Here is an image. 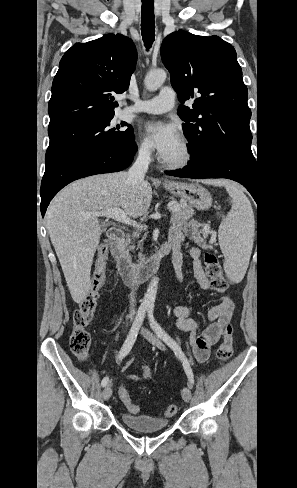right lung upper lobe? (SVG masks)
<instances>
[{
  "label": "right lung upper lobe",
  "mask_w": 297,
  "mask_h": 488,
  "mask_svg": "<svg viewBox=\"0 0 297 488\" xmlns=\"http://www.w3.org/2000/svg\"><path fill=\"white\" fill-rule=\"evenodd\" d=\"M137 62L134 43L108 34L74 44L62 57L48 104V133L77 123L114 116L112 94L128 89Z\"/></svg>",
  "instance_id": "right-lung-upper-lobe-1"
}]
</instances>
